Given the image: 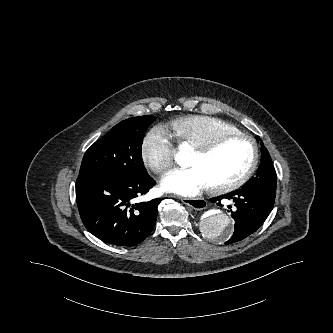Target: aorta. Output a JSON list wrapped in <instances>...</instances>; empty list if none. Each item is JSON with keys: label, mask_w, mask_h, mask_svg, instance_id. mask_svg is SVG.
Here are the masks:
<instances>
[{"label": "aorta", "mask_w": 333, "mask_h": 333, "mask_svg": "<svg viewBox=\"0 0 333 333\" xmlns=\"http://www.w3.org/2000/svg\"><path fill=\"white\" fill-rule=\"evenodd\" d=\"M176 161L180 166L188 164L185 153L177 155ZM200 228L205 236L222 241L233 232V221L225 212L213 210L201 220Z\"/></svg>", "instance_id": "aorta-1"}]
</instances>
